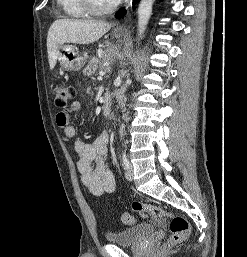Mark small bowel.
<instances>
[{"label": "small bowel", "instance_id": "obj_1", "mask_svg": "<svg viewBox=\"0 0 247 257\" xmlns=\"http://www.w3.org/2000/svg\"><path fill=\"white\" fill-rule=\"evenodd\" d=\"M79 108V103L72 104V110ZM57 124L63 128L64 134L67 137L75 136V128L69 124L68 113H58ZM110 136L108 132H103L92 143H86L81 139H75L73 148L77 154L76 167L81 176V181L84 186L95 196L103 194H111L116 189V179L113 172L109 169L105 162V155L108 150ZM96 167L93 168V164Z\"/></svg>", "mask_w": 247, "mask_h": 257}]
</instances>
